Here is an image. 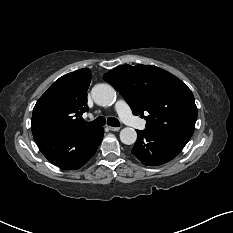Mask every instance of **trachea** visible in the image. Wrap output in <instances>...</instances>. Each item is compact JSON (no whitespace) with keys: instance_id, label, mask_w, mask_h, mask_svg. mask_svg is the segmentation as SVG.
Instances as JSON below:
<instances>
[{"instance_id":"3493384b","label":"trachea","mask_w":233,"mask_h":233,"mask_svg":"<svg viewBox=\"0 0 233 233\" xmlns=\"http://www.w3.org/2000/svg\"><path fill=\"white\" fill-rule=\"evenodd\" d=\"M105 124V118L102 116L97 117L95 120L89 122V125L91 126H103ZM107 124L113 127L120 126V122L116 118H108Z\"/></svg>"}]
</instances>
